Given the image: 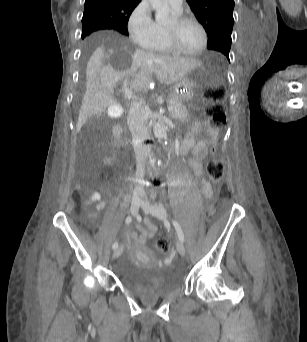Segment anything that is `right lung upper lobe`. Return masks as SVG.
<instances>
[{"mask_svg":"<svg viewBox=\"0 0 307 342\" xmlns=\"http://www.w3.org/2000/svg\"><path fill=\"white\" fill-rule=\"evenodd\" d=\"M141 0H86L84 13L93 12L104 17L107 29L127 31L130 14Z\"/></svg>","mask_w":307,"mask_h":342,"instance_id":"obj_1","label":"right lung upper lobe"}]
</instances>
